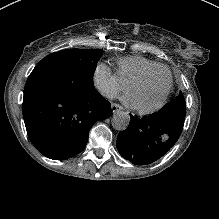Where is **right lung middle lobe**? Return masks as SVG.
<instances>
[{
    "instance_id": "obj_1",
    "label": "right lung middle lobe",
    "mask_w": 219,
    "mask_h": 219,
    "mask_svg": "<svg viewBox=\"0 0 219 219\" xmlns=\"http://www.w3.org/2000/svg\"><path fill=\"white\" fill-rule=\"evenodd\" d=\"M102 50L68 49L46 56L34 68L39 70L53 63L65 62L78 67L85 75L92 77V71L102 56Z\"/></svg>"
}]
</instances>
